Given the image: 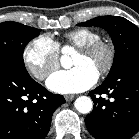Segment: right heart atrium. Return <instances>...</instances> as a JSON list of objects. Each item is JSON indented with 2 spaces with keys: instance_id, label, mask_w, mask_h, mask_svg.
Listing matches in <instances>:
<instances>
[{
  "instance_id": "right-heart-atrium-1",
  "label": "right heart atrium",
  "mask_w": 139,
  "mask_h": 139,
  "mask_svg": "<svg viewBox=\"0 0 139 139\" xmlns=\"http://www.w3.org/2000/svg\"><path fill=\"white\" fill-rule=\"evenodd\" d=\"M23 61L35 78L44 80L59 66V47L51 37L41 35L26 45Z\"/></svg>"
}]
</instances>
